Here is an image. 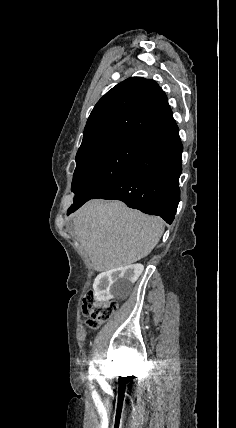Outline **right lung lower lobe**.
Masks as SVG:
<instances>
[{"label": "right lung lower lobe", "instance_id": "right-lung-lower-lobe-1", "mask_svg": "<svg viewBox=\"0 0 236 428\" xmlns=\"http://www.w3.org/2000/svg\"><path fill=\"white\" fill-rule=\"evenodd\" d=\"M182 150L179 129L172 117L140 140L138 152L128 167L93 199L121 200L171 224L180 201ZM79 207L68 210V214Z\"/></svg>", "mask_w": 236, "mask_h": 428}]
</instances>
